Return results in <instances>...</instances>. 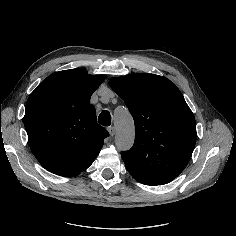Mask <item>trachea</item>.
<instances>
[{"instance_id":"3493384b","label":"trachea","mask_w":236,"mask_h":236,"mask_svg":"<svg viewBox=\"0 0 236 236\" xmlns=\"http://www.w3.org/2000/svg\"><path fill=\"white\" fill-rule=\"evenodd\" d=\"M98 122L103 126H109L111 124V115L107 110L101 112L98 117Z\"/></svg>"}]
</instances>
